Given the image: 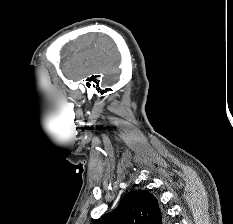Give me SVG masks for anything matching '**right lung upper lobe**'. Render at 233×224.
I'll return each instance as SVG.
<instances>
[{
  "mask_svg": "<svg viewBox=\"0 0 233 224\" xmlns=\"http://www.w3.org/2000/svg\"><path fill=\"white\" fill-rule=\"evenodd\" d=\"M166 216L157 199L147 190L126 195L114 213L106 214L93 224H166Z\"/></svg>",
  "mask_w": 233,
  "mask_h": 224,
  "instance_id": "right-lung-upper-lobe-1",
  "label": "right lung upper lobe"
}]
</instances>
